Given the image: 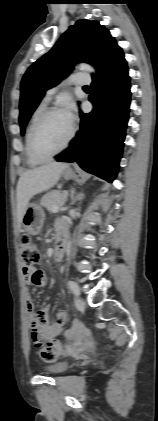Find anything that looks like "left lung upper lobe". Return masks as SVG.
<instances>
[{
  "label": "left lung upper lobe",
  "mask_w": 158,
  "mask_h": 421,
  "mask_svg": "<svg viewBox=\"0 0 158 421\" xmlns=\"http://www.w3.org/2000/svg\"><path fill=\"white\" fill-rule=\"evenodd\" d=\"M118 47L98 21L83 19L71 26L48 53L29 67L21 81V134L45 91L66 77L77 62H87L98 71Z\"/></svg>",
  "instance_id": "left-lung-upper-lobe-1"
}]
</instances>
